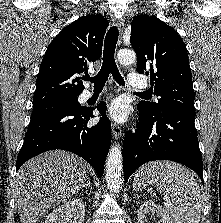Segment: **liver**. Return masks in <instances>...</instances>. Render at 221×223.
<instances>
[{
  "label": "liver",
  "instance_id": "6515ba94",
  "mask_svg": "<svg viewBox=\"0 0 221 223\" xmlns=\"http://www.w3.org/2000/svg\"><path fill=\"white\" fill-rule=\"evenodd\" d=\"M86 163L52 150L28 160L15 178L14 195L22 223H36L48 210L71 199L85 184Z\"/></svg>",
  "mask_w": 221,
  "mask_h": 223
}]
</instances>
